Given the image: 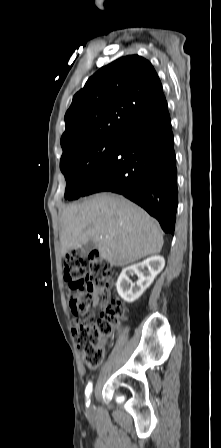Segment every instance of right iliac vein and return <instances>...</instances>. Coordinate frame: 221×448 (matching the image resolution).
Wrapping results in <instances>:
<instances>
[{
  "label": "right iliac vein",
  "instance_id": "obj_1",
  "mask_svg": "<svg viewBox=\"0 0 221 448\" xmlns=\"http://www.w3.org/2000/svg\"><path fill=\"white\" fill-rule=\"evenodd\" d=\"M88 411H90V407H88Z\"/></svg>",
  "mask_w": 221,
  "mask_h": 448
}]
</instances>
